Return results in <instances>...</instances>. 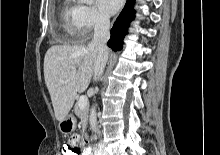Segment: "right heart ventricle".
Listing matches in <instances>:
<instances>
[{
    "mask_svg": "<svg viewBox=\"0 0 220 155\" xmlns=\"http://www.w3.org/2000/svg\"><path fill=\"white\" fill-rule=\"evenodd\" d=\"M80 11L81 6L75 0L63 1L60 18L64 31L73 39H77L82 35L79 28Z\"/></svg>",
    "mask_w": 220,
    "mask_h": 155,
    "instance_id": "e07e8e85",
    "label": "right heart ventricle"
}]
</instances>
